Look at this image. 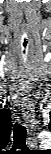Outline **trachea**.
I'll return each instance as SVG.
<instances>
[{
    "label": "trachea",
    "instance_id": "3493384b",
    "mask_svg": "<svg viewBox=\"0 0 51 154\" xmlns=\"http://www.w3.org/2000/svg\"><path fill=\"white\" fill-rule=\"evenodd\" d=\"M25 133H26V128L22 124L16 122L15 127H14V131H13L14 139L19 140L20 136Z\"/></svg>",
    "mask_w": 51,
    "mask_h": 154
}]
</instances>
